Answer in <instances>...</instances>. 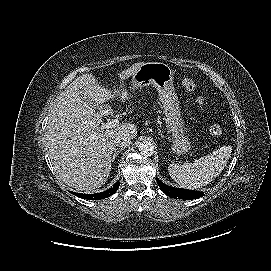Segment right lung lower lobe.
Returning <instances> with one entry per match:
<instances>
[{
  "instance_id": "1",
  "label": "right lung lower lobe",
  "mask_w": 271,
  "mask_h": 271,
  "mask_svg": "<svg viewBox=\"0 0 271 271\" xmlns=\"http://www.w3.org/2000/svg\"><path fill=\"white\" fill-rule=\"evenodd\" d=\"M119 185L120 183L116 182L113 188H110L109 190L101 192V193H95V194H82V193H75V192H71V193L83 199L99 200V199L108 198L111 195H113L117 191Z\"/></svg>"
}]
</instances>
